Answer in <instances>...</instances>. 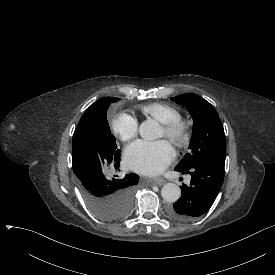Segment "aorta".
Segmentation results:
<instances>
[{
  "label": "aorta",
  "instance_id": "aorta-1",
  "mask_svg": "<svg viewBox=\"0 0 275 275\" xmlns=\"http://www.w3.org/2000/svg\"><path fill=\"white\" fill-rule=\"evenodd\" d=\"M140 136L144 140H155L163 136V130L154 119H148L141 123L139 127ZM162 198L169 202H176L181 196L180 188L174 183H166L161 190Z\"/></svg>",
  "mask_w": 275,
  "mask_h": 275
}]
</instances>
